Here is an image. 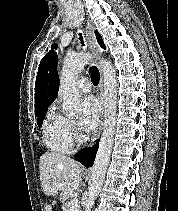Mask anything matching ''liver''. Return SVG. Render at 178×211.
<instances>
[{"label":"liver","instance_id":"6515ba94","mask_svg":"<svg viewBox=\"0 0 178 211\" xmlns=\"http://www.w3.org/2000/svg\"><path fill=\"white\" fill-rule=\"evenodd\" d=\"M40 180L45 196L58 199L63 205L73 196L81 181V169L73 159L54 152L42 154L39 160ZM58 184H64L58 196ZM52 204H46V211H52ZM63 208V207H62Z\"/></svg>","mask_w":178,"mask_h":211}]
</instances>
